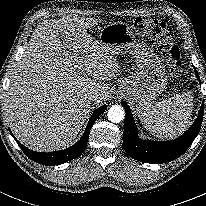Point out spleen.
<instances>
[{
  "instance_id": "3e777b00",
  "label": "spleen",
  "mask_w": 206,
  "mask_h": 206,
  "mask_svg": "<svg viewBox=\"0 0 206 206\" xmlns=\"http://www.w3.org/2000/svg\"><path fill=\"white\" fill-rule=\"evenodd\" d=\"M193 108V96L187 93L148 104L138 117L146 130L159 138H172L187 129Z\"/></svg>"
}]
</instances>
